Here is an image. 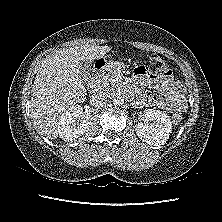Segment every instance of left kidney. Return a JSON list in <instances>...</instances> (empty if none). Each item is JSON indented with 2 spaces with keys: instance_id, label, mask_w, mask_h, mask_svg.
I'll list each match as a JSON object with an SVG mask.
<instances>
[{
  "instance_id": "left-kidney-1",
  "label": "left kidney",
  "mask_w": 222,
  "mask_h": 222,
  "mask_svg": "<svg viewBox=\"0 0 222 222\" xmlns=\"http://www.w3.org/2000/svg\"><path fill=\"white\" fill-rule=\"evenodd\" d=\"M142 118L143 121L135 125L138 137L150 145L165 144L172 130L169 116L162 111L145 109Z\"/></svg>"
}]
</instances>
